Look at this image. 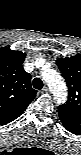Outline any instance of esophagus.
I'll return each instance as SVG.
<instances>
[{
  "instance_id": "obj_1",
  "label": "esophagus",
  "mask_w": 81,
  "mask_h": 155,
  "mask_svg": "<svg viewBox=\"0 0 81 155\" xmlns=\"http://www.w3.org/2000/svg\"><path fill=\"white\" fill-rule=\"evenodd\" d=\"M42 92H49V88L47 86H44V88L42 89Z\"/></svg>"
}]
</instances>
